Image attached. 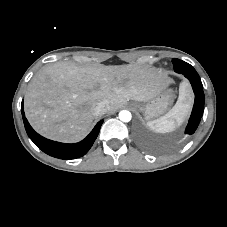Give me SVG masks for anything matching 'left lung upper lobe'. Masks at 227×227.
I'll return each instance as SVG.
<instances>
[{
    "label": "left lung upper lobe",
    "mask_w": 227,
    "mask_h": 227,
    "mask_svg": "<svg viewBox=\"0 0 227 227\" xmlns=\"http://www.w3.org/2000/svg\"><path fill=\"white\" fill-rule=\"evenodd\" d=\"M172 63L174 66V70L177 73L180 72L181 70H193L194 69L190 64H188L182 60H179V59H173Z\"/></svg>",
    "instance_id": "obj_1"
}]
</instances>
